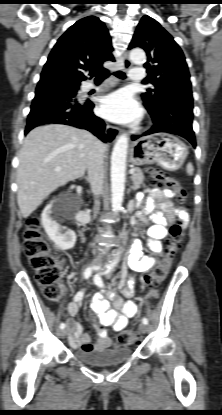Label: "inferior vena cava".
<instances>
[{
  "mask_svg": "<svg viewBox=\"0 0 222 415\" xmlns=\"http://www.w3.org/2000/svg\"><path fill=\"white\" fill-rule=\"evenodd\" d=\"M106 147L100 141H96L89 153L88 157V179L91 191L94 195L101 194L104 183V152Z\"/></svg>",
  "mask_w": 222,
  "mask_h": 415,
  "instance_id": "1",
  "label": "inferior vena cava"
}]
</instances>
